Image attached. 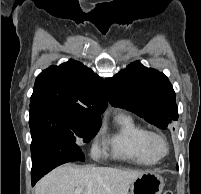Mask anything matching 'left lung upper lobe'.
Returning <instances> with one entry per match:
<instances>
[{
  "label": "left lung upper lobe",
  "mask_w": 201,
  "mask_h": 194,
  "mask_svg": "<svg viewBox=\"0 0 201 194\" xmlns=\"http://www.w3.org/2000/svg\"><path fill=\"white\" fill-rule=\"evenodd\" d=\"M106 90L112 106L126 108L161 129L178 120L175 92L167 77L138 61L106 79Z\"/></svg>",
  "instance_id": "1"
}]
</instances>
